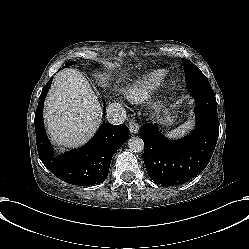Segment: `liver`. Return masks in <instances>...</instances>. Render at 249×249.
Here are the masks:
<instances>
[{
    "label": "liver",
    "instance_id": "6515ba94",
    "mask_svg": "<svg viewBox=\"0 0 249 249\" xmlns=\"http://www.w3.org/2000/svg\"><path fill=\"white\" fill-rule=\"evenodd\" d=\"M43 115L54 144L62 149L77 148L96 133L103 109L86 78L70 69L54 78Z\"/></svg>",
    "mask_w": 249,
    "mask_h": 249
}]
</instances>
